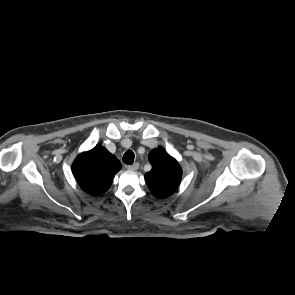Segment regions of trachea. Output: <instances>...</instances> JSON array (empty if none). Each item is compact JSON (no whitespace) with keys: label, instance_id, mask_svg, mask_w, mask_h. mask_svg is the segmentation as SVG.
I'll list each match as a JSON object with an SVG mask.
<instances>
[{"label":"trachea","instance_id":"1","mask_svg":"<svg viewBox=\"0 0 295 295\" xmlns=\"http://www.w3.org/2000/svg\"><path fill=\"white\" fill-rule=\"evenodd\" d=\"M134 158H135V155H134L133 151L132 150H127L125 152V154L123 155L122 160H123V162L125 164L130 165V164H132L134 162Z\"/></svg>","mask_w":295,"mask_h":295}]
</instances>
